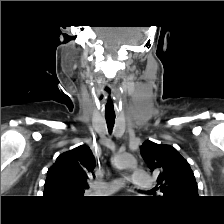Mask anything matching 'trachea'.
<instances>
[{
  "label": "trachea",
  "mask_w": 224,
  "mask_h": 224,
  "mask_svg": "<svg viewBox=\"0 0 224 224\" xmlns=\"http://www.w3.org/2000/svg\"><path fill=\"white\" fill-rule=\"evenodd\" d=\"M105 119L107 122V127L109 129V132H111L115 123V116H112V117L105 116Z\"/></svg>",
  "instance_id": "obj_1"
}]
</instances>
